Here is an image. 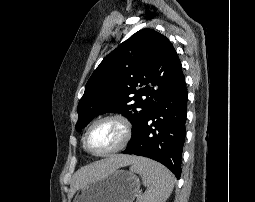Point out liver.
<instances>
[{
    "label": "liver",
    "instance_id": "6515ba94",
    "mask_svg": "<svg viewBox=\"0 0 255 202\" xmlns=\"http://www.w3.org/2000/svg\"><path fill=\"white\" fill-rule=\"evenodd\" d=\"M137 159V157L131 155H113L79 169L71 183V194L75 193L84 184L104 177L120 167L133 164Z\"/></svg>",
    "mask_w": 255,
    "mask_h": 202
}]
</instances>
